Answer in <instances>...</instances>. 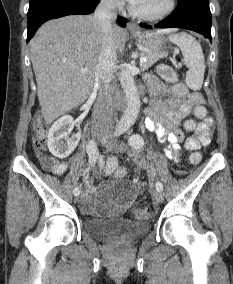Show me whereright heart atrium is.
<instances>
[{
    "instance_id": "right-heart-atrium-1",
    "label": "right heart atrium",
    "mask_w": 233,
    "mask_h": 284,
    "mask_svg": "<svg viewBox=\"0 0 233 284\" xmlns=\"http://www.w3.org/2000/svg\"><path fill=\"white\" fill-rule=\"evenodd\" d=\"M108 8H119L122 5V0H101Z\"/></svg>"
}]
</instances>
